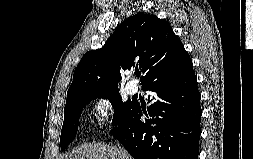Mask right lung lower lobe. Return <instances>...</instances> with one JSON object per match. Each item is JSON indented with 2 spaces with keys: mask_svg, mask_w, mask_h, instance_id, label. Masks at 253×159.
Instances as JSON below:
<instances>
[{
  "mask_svg": "<svg viewBox=\"0 0 253 159\" xmlns=\"http://www.w3.org/2000/svg\"><path fill=\"white\" fill-rule=\"evenodd\" d=\"M143 89L152 92L147 112L135 103L111 134L135 159H198L202 110L193 67Z\"/></svg>",
  "mask_w": 253,
  "mask_h": 159,
  "instance_id": "1",
  "label": "right lung lower lobe"
}]
</instances>
